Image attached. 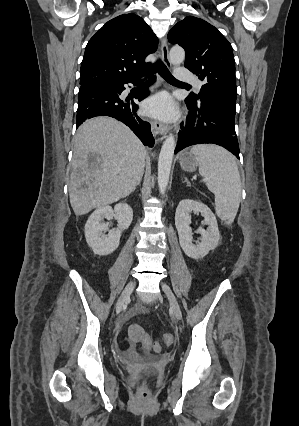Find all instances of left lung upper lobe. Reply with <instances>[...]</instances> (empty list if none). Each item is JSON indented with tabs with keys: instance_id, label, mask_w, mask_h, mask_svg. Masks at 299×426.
<instances>
[{
	"instance_id": "obj_1",
	"label": "left lung upper lobe",
	"mask_w": 299,
	"mask_h": 426,
	"mask_svg": "<svg viewBox=\"0 0 299 426\" xmlns=\"http://www.w3.org/2000/svg\"><path fill=\"white\" fill-rule=\"evenodd\" d=\"M172 44H179L186 51L184 66L204 81L198 100H218L236 109L235 61L231 44L211 24L196 18L186 17L168 33Z\"/></svg>"
}]
</instances>
